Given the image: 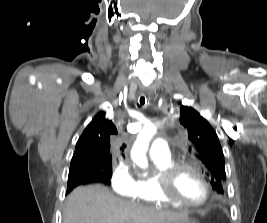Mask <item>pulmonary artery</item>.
<instances>
[{
    "instance_id": "e3ab8cb5",
    "label": "pulmonary artery",
    "mask_w": 267,
    "mask_h": 223,
    "mask_svg": "<svg viewBox=\"0 0 267 223\" xmlns=\"http://www.w3.org/2000/svg\"><path fill=\"white\" fill-rule=\"evenodd\" d=\"M148 153L152 158L169 159L170 158L169 144L164 139H157L150 146Z\"/></svg>"
}]
</instances>
